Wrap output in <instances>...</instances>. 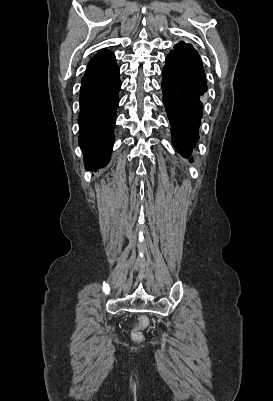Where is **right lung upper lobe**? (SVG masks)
<instances>
[{"instance_id":"cb5924a9","label":"right lung upper lobe","mask_w":273,"mask_h":401,"mask_svg":"<svg viewBox=\"0 0 273 401\" xmlns=\"http://www.w3.org/2000/svg\"><path fill=\"white\" fill-rule=\"evenodd\" d=\"M115 60V56L108 50H101L97 53L89 62L88 68L86 71L94 69L96 67L111 63Z\"/></svg>"}]
</instances>
